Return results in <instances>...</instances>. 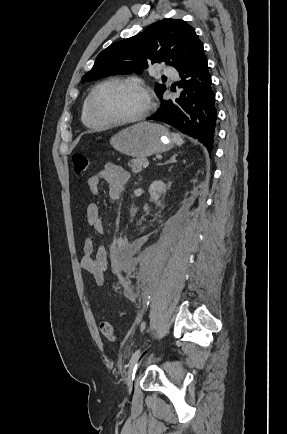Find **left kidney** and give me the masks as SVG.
<instances>
[{
  "instance_id": "obj_1",
  "label": "left kidney",
  "mask_w": 287,
  "mask_h": 434,
  "mask_svg": "<svg viewBox=\"0 0 287 434\" xmlns=\"http://www.w3.org/2000/svg\"><path fill=\"white\" fill-rule=\"evenodd\" d=\"M166 191V186L162 181H154L149 187V194L152 201H157L160 195Z\"/></svg>"
}]
</instances>
